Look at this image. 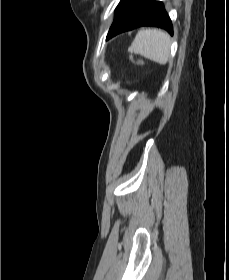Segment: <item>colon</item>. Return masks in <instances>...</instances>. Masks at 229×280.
Masks as SVG:
<instances>
[{
	"instance_id": "colon-1",
	"label": "colon",
	"mask_w": 229,
	"mask_h": 280,
	"mask_svg": "<svg viewBox=\"0 0 229 280\" xmlns=\"http://www.w3.org/2000/svg\"><path fill=\"white\" fill-rule=\"evenodd\" d=\"M133 62H136V63H141V62H142V60H140V59L134 60V59H133Z\"/></svg>"
}]
</instances>
